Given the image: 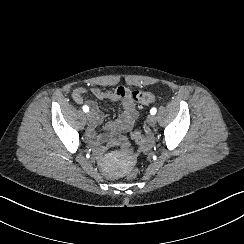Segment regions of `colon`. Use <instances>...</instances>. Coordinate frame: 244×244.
<instances>
[{"label":"colon","mask_w":244,"mask_h":244,"mask_svg":"<svg viewBox=\"0 0 244 244\" xmlns=\"http://www.w3.org/2000/svg\"><path fill=\"white\" fill-rule=\"evenodd\" d=\"M129 94L131 95L132 99L141 106L151 105L157 100V95L153 91H132L124 86L114 87L107 92V95L110 96L112 99H119ZM129 137L134 141H141L144 138V133L140 128H135L132 132H130ZM114 139L117 145L121 146V150L123 153L128 154L131 152V143L129 140H127L123 133H116ZM115 141L112 139L107 140L105 143L106 148L109 150L114 149L116 146ZM127 177L129 180L134 181L139 177V171L136 168H131L128 171Z\"/></svg>","instance_id":"colon-1"}]
</instances>
